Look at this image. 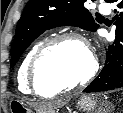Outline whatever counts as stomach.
Instances as JSON below:
<instances>
[{"mask_svg": "<svg viewBox=\"0 0 123 113\" xmlns=\"http://www.w3.org/2000/svg\"><path fill=\"white\" fill-rule=\"evenodd\" d=\"M99 100L98 98L92 95H83L77 101V108L84 112L93 111L98 106ZM10 110H14L15 112L19 113H33L32 109L27 107L22 101L20 100H11L10 101ZM37 113H55L54 110H47L44 112H37Z\"/></svg>", "mask_w": 123, "mask_h": 113, "instance_id": "stomach-1", "label": "stomach"}]
</instances>
